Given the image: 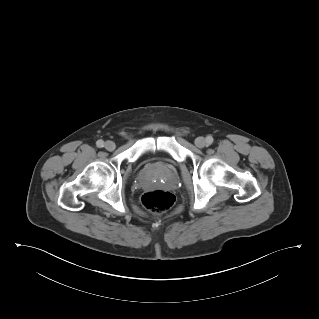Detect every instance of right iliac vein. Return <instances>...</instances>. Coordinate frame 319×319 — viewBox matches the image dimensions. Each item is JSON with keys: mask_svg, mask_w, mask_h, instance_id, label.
I'll return each mask as SVG.
<instances>
[{"mask_svg": "<svg viewBox=\"0 0 319 319\" xmlns=\"http://www.w3.org/2000/svg\"><path fill=\"white\" fill-rule=\"evenodd\" d=\"M105 148L108 150V151H113L115 149V143L113 141H107L105 143Z\"/></svg>", "mask_w": 319, "mask_h": 319, "instance_id": "1", "label": "right iliac vein"}]
</instances>
